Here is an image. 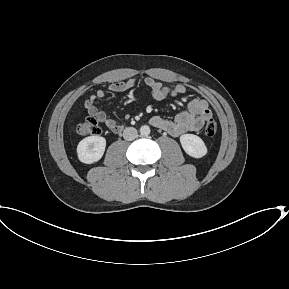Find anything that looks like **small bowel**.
<instances>
[{
  "mask_svg": "<svg viewBox=\"0 0 289 289\" xmlns=\"http://www.w3.org/2000/svg\"><path fill=\"white\" fill-rule=\"evenodd\" d=\"M137 83V79L115 82L109 86V90L113 93H122L134 87ZM142 83L150 90L151 98L155 101L176 97L184 94L187 90L184 85L178 84L174 87H169L152 77L144 78ZM104 97L105 92L103 90H97L95 94L91 95L85 101L84 106L91 117L103 123L109 130L117 132L121 128L118 122L109 118L105 112L97 108V101ZM211 117L212 113L209 109L208 102L204 99L194 98L188 103L186 109L178 113L173 120L154 116L150 122L153 126L163 129L172 136L178 137L188 132L199 131Z\"/></svg>",
  "mask_w": 289,
  "mask_h": 289,
  "instance_id": "obj_1",
  "label": "small bowel"
}]
</instances>
